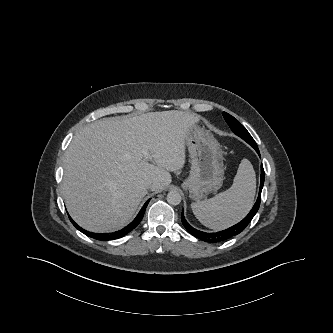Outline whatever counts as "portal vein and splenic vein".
<instances>
[{
  "instance_id": "obj_1",
  "label": "portal vein and splenic vein",
  "mask_w": 333,
  "mask_h": 333,
  "mask_svg": "<svg viewBox=\"0 0 333 333\" xmlns=\"http://www.w3.org/2000/svg\"><path fill=\"white\" fill-rule=\"evenodd\" d=\"M145 158L148 159L149 158V154L146 152L145 153Z\"/></svg>"
}]
</instances>
